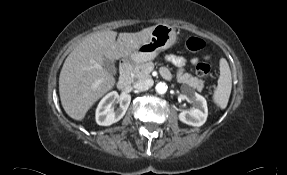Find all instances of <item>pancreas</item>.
<instances>
[{
  "label": "pancreas",
  "instance_id": "1",
  "mask_svg": "<svg viewBox=\"0 0 287 175\" xmlns=\"http://www.w3.org/2000/svg\"><path fill=\"white\" fill-rule=\"evenodd\" d=\"M154 64L149 61L146 63L137 64L132 70L131 74L135 79H146L150 77L149 68ZM177 82L187 84L188 86L201 91L204 87V81L198 79L197 77L192 76L189 73H177L176 75Z\"/></svg>",
  "mask_w": 287,
  "mask_h": 175
}]
</instances>
